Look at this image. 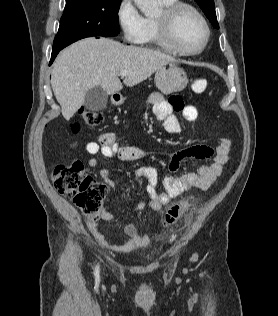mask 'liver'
<instances>
[{"instance_id": "liver-1", "label": "liver", "mask_w": 278, "mask_h": 316, "mask_svg": "<svg viewBox=\"0 0 278 316\" xmlns=\"http://www.w3.org/2000/svg\"><path fill=\"white\" fill-rule=\"evenodd\" d=\"M175 61L160 51L89 37L73 43L58 55L51 85L63 117L69 120L84 104L85 94L91 88L101 86L108 95L122 90L121 71H128L123 83L132 87L162 65Z\"/></svg>"}]
</instances>
